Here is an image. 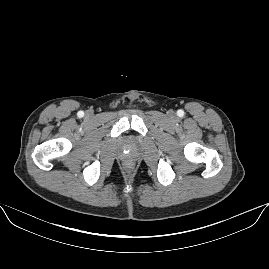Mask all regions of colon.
I'll list each match as a JSON object with an SVG mask.
<instances>
[{
    "label": "colon",
    "instance_id": "colon-1",
    "mask_svg": "<svg viewBox=\"0 0 269 269\" xmlns=\"http://www.w3.org/2000/svg\"><path fill=\"white\" fill-rule=\"evenodd\" d=\"M124 167H125L127 170H129V169L131 168V165H130L129 163H125V164H124Z\"/></svg>",
    "mask_w": 269,
    "mask_h": 269
}]
</instances>
